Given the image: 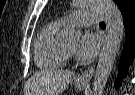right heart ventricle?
I'll return each mask as SVG.
<instances>
[{"label": "right heart ventricle", "mask_w": 135, "mask_h": 95, "mask_svg": "<svg viewBox=\"0 0 135 95\" xmlns=\"http://www.w3.org/2000/svg\"><path fill=\"white\" fill-rule=\"evenodd\" d=\"M66 24L63 20L46 23L34 45L36 64L41 68H60L67 60L66 44L61 38Z\"/></svg>", "instance_id": "1"}]
</instances>
